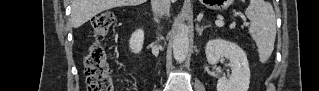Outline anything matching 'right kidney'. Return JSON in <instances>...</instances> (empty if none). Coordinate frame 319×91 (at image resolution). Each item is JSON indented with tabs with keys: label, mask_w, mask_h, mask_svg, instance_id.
<instances>
[{
	"label": "right kidney",
	"mask_w": 319,
	"mask_h": 91,
	"mask_svg": "<svg viewBox=\"0 0 319 91\" xmlns=\"http://www.w3.org/2000/svg\"><path fill=\"white\" fill-rule=\"evenodd\" d=\"M144 43V31L142 29L136 30L129 40V47L135 54L141 52Z\"/></svg>",
	"instance_id": "1"
}]
</instances>
